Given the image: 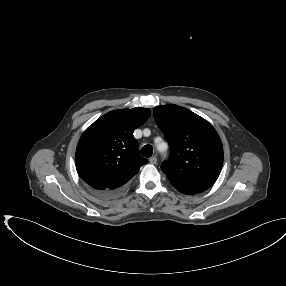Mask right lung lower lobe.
I'll use <instances>...</instances> for the list:
<instances>
[{
	"label": "right lung lower lobe",
	"instance_id": "obj_1",
	"mask_svg": "<svg viewBox=\"0 0 286 286\" xmlns=\"http://www.w3.org/2000/svg\"><path fill=\"white\" fill-rule=\"evenodd\" d=\"M89 189L94 195L101 197V198H108L119 192V191H116V192L100 191V190H96L93 188H89Z\"/></svg>",
	"mask_w": 286,
	"mask_h": 286
}]
</instances>
